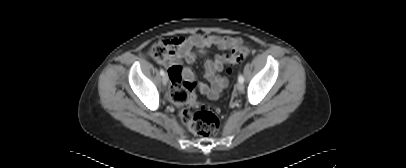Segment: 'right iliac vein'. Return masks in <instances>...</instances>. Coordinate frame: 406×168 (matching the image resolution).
<instances>
[{
  "mask_svg": "<svg viewBox=\"0 0 406 168\" xmlns=\"http://www.w3.org/2000/svg\"><path fill=\"white\" fill-rule=\"evenodd\" d=\"M168 82V75L164 73V75L162 76V83L163 85H167Z\"/></svg>",
  "mask_w": 406,
  "mask_h": 168,
  "instance_id": "right-iliac-vein-1",
  "label": "right iliac vein"
}]
</instances>
